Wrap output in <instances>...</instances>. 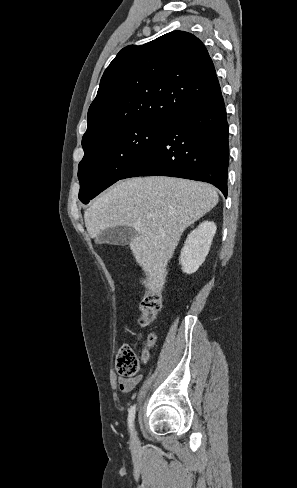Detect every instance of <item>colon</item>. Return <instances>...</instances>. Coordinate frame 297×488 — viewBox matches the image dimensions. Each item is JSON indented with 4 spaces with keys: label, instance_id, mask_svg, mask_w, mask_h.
<instances>
[{
    "label": "colon",
    "instance_id": "1",
    "mask_svg": "<svg viewBox=\"0 0 297 488\" xmlns=\"http://www.w3.org/2000/svg\"><path fill=\"white\" fill-rule=\"evenodd\" d=\"M161 308V296L159 290L155 288L147 289L145 295L140 302L141 316L139 319V325L141 327H147L151 325ZM156 337L153 333H149L143 337V351L138 354L134 348L128 344H122L116 355V369L119 374L126 377H134L143 363H145L149 357V351L154 345Z\"/></svg>",
    "mask_w": 297,
    "mask_h": 488
}]
</instances>
